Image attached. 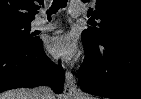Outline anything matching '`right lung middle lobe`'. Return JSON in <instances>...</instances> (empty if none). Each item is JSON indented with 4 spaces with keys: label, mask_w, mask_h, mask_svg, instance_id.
Returning <instances> with one entry per match:
<instances>
[{
    "label": "right lung middle lobe",
    "mask_w": 141,
    "mask_h": 99,
    "mask_svg": "<svg viewBox=\"0 0 141 99\" xmlns=\"http://www.w3.org/2000/svg\"><path fill=\"white\" fill-rule=\"evenodd\" d=\"M31 21H2L0 22V41L14 43L34 42L38 37L30 34Z\"/></svg>",
    "instance_id": "right-lung-middle-lobe-1"
}]
</instances>
